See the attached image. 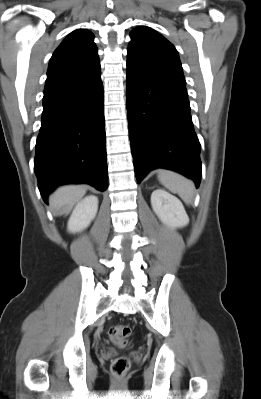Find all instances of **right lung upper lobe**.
Returning <instances> with one entry per match:
<instances>
[{
    "label": "right lung upper lobe",
    "mask_w": 261,
    "mask_h": 399,
    "mask_svg": "<svg viewBox=\"0 0 261 399\" xmlns=\"http://www.w3.org/2000/svg\"><path fill=\"white\" fill-rule=\"evenodd\" d=\"M94 35L85 29L70 33L53 53L44 94L55 92L100 74Z\"/></svg>",
    "instance_id": "obj_1"
}]
</instances>
